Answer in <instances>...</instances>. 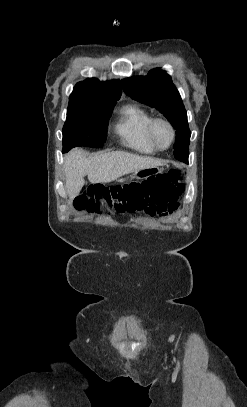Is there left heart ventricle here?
I'll return each instance as SVG.
<instances>
[{
	"label": "left heart ventricle",
	"instance_id": "obj_1",
	"mask_svg": "<svg viewBox=\"0 0 247 407\" xmlns=\"http://www.w3.org/2000/svg\"><path fill=\"white\" fill-rule=\"evenodd\" d=\"M156 139L162 147H167L171 141V133L167 126L159 124L155 131Z\"/></svg>",
	"mask_w": 247,
	"mask_h": 407
}]
</instances>
